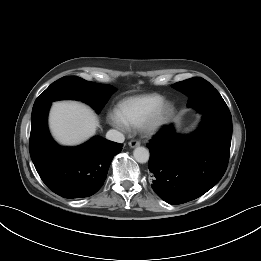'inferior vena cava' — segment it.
Here are the masks:
<instances>
[{"mask_svg": "<svg viewBox=\"0 0 261 261\" xmlns=\"http://www.w3.org/2000/svg\"><path fill=\"white\" fill-rule=\"evenodd\" d=\"M106 138L117 143H123L125 140V137L121 132L113 129L107 132Z\"/></svg>", "mask_w": 261, "mask_h": 261, "instance_id": "inferior-vena-cava-1", "label": "inferior vena cava"}]
</instances>
